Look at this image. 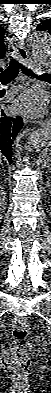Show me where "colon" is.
I'll return each instance as SVG.
<instances>
[{
	"mask_svg": "<svg viewBox=\"0 0 51 393\" xmlns=\"http://www.w3.org/2000/svg\"><path fill=\"white\" fill-rule=\"evenodd\" d=\"M13 337L22 341L28 335L29 323L23 317H16L11 325ZM29 350L34 356H43L47 351V343L43 337L35 336L29 341ZM3 365L10 371L20 374L31 364V358L21 347H9L2 357Z\"/></svg>",
	"mask_w": 51,
	"mask_h": 393,
	"instance_id": "colon-1",
	"label": "colon"
}]
</instances>
